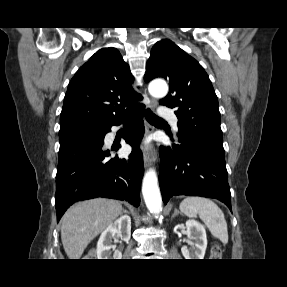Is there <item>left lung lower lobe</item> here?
Returning <instances> with one entry per match:
<instances>
[{
    "label": "left lung lower lobe",
    "instance_id": "0a47b994",
    "mask_svg": "<svg viewBox=\"0 0 287 287\" xmlns=\"http://www.w3.org/2000/svg\"><path fill=\"white\" fill-rule=\"evenodd\" d=\"M161 147L159 184L163 202L172 196L216 198L231 210L225 154L206 145L181 139Z\"/></svg>",
    "mask_w": 287,
    "mask_h": 287
}]
</instances>
